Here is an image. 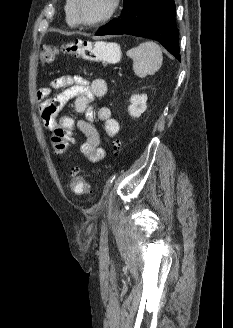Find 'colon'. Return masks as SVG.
Instances as JSON below:
<instances>
[{
  "label": "colon",
  "instance_id": "1",
  "mask_svg": "<svg viewBox=\"0 0 233 328\" xmlns=\"http://www.w3.org/2000/svg\"><path fill=\"white\" fill-rule=\"evenodd\" d=\"M60 54H69L81 57L90 61L112 62L117 60L119 50L117 47L108 43H89L76 41L62 45L61 47L54 45H44L40 49L39 63L41 65L53 62ZM74 122L70 117H62L57 119V125L53 129L52 145L63 163L67 162V145L72 139ZM120 147V143L116 142L115 150ZM71 178L69 187L77 194H87L90 192V185L86 178L80 174L78 167L71 168Z\"/></svg>",
  "mask_w": 233,
  "mask_h": 328
}]
</instances>
